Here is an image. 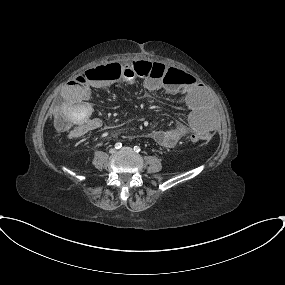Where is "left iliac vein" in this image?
<instances>
[{"label":"left iliac vein","instance_id":"1","mask_svg":"<svg viewBox=\"0 0 285 285\" xmlns=\"http://www.w3.org/2000/svg\"><path fill=\"white\" fill-rule=\"evenodd\" d=\"M121 150L122 151H132V148L131 147H123Z\"/></svg>","mask_w":285,"mask_h":285}]
</instances>
